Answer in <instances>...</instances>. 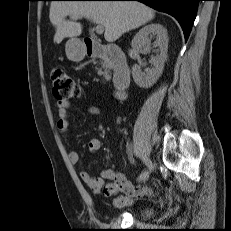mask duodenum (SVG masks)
I'll list each match as a JSON object with an SVG mask.
<instances>
[{"mask_svg":"<svg viewBox=\"0 0 231 231\" xmlns=\"http://www.w3.org/2000/svg\"><path fill=\"white\" fill-rule=\"evenodd\" d=\"M84 52L86 56L92 58L103 57L111 64L113 71V84L119 96L129 86L130 67L122 49L115 44L102 45L96 40L85 38Z\"/></svg>","mask_w":231,"mask_h":231,"instance_id":"410a0bca","label":"duodenum"}]
</instances>
